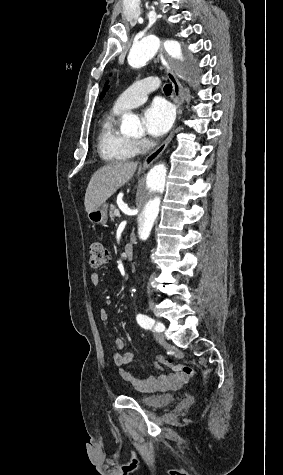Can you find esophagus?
Segmentation results:
<instances>
[{"label":"esophagus","mask_w":283,"mask_h":475,"mask_svg":"<svg viewBox=\"0 0 283 475\" xmlns=\"http://www.w3.org/2000/svg\"><path fill=\"white\" fill-rule=\"evenodd\" d=\"M166 73H167L168 79L172 83L174 102L178 105L177 113L179 114L181 112L180 107L184 102L183 89L179 80L177 79V77L171 70H167ZM173 135H174V131H172L169 134L166 140H164V142L159 147H157L155 150H153V152L147 155V157L143 161V165H142L143 168L149 167L160 157V155L164 152L167 145L172 140Z\"/></svg>","instance_id":"1"}]
</instances>
